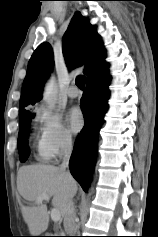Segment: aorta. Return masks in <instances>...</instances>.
Here are the masks:
<instances>
[{
    "instance_id": "aorta-1",
    "label": "aorta",
    "mask_w": 158,
    "mask_h": 237,
    "mask_svg": "<svg viewBox=\"0 0 158 237\" xmlns=\"http://www.w3.org/2000/svg\"><path fill=\"white\" fill-rule=\"evenodd\" d=\"M43 99L51 108L55 107L57 102V85L54 78H50L44 88Z\"/></svg>"
}]
</instances>
